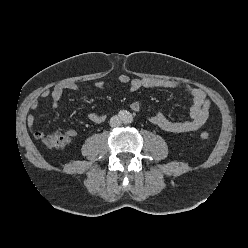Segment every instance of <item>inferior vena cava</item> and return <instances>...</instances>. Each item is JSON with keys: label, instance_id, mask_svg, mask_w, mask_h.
Returning <instances> with one entry per match:
<instances>
[{"label": "inferior vena cava", "instance_id": "inferior-vena-cava-1", "mask_svg": "<svg viewBox=\"0 0 248 248\" xmlns=\"http://www.w3.org/2000/svg\"><path fill=\"white\" fill-rule=\"evenodd\" d=\"M121 124H122V120L117 115L111 117V119H110V126L111 127H118Z\"/></svg>", "mask_w": 248, "mask_h": 248}]
</instances>
